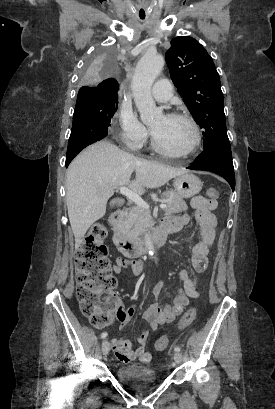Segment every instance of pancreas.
Masks as SVG:
<instances>
[{
  "instance_id": "pancreas-1",
  "label": "pancreas",
  "mask_w": 275,
  "mask_h": 409,
  "mask_svg": "<svg viewBox=\"0 0 275 409\" xmlns=\"http://www.w3.org/2000/svg\"><path fill=\"white\" fill-rule=\"evenodd\" d=\"M163 200H167L165 213H182L187 211L188 207L183 196H180L175 190H165L161 194ZM152 225V219L149 209L144 207H131L126 211L123 219L118 223L120 233L126 235L128 239H138L145 229H149Z\"/></svg>"
}]
</instances>
